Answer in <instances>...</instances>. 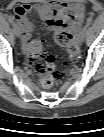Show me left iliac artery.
Here are the masks:
<instances>
[{
	"mask_svg": "<svg viewBox=\"0 0 104 137\" xmlns=\"http://www.w3.org/2000/svg\"><path fill=\"white\" fill-rule=\"evenodd\" d=\"M91 23H92V19L88 18V20L86 22V26L84 27V29H86L87 27H89Z\"/></svg>",
	"mask_w": 104,
	"mask_h": 137,
	"instance_id": "obj_1",
	"label": "left iliac artery"
}]
</instances>
